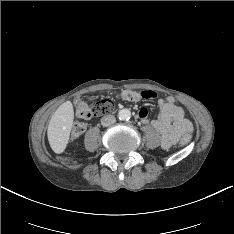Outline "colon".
<instances>
[{
	"label": "colon",
	"instance_id": "obj_1",
	"mask_svg": "<svg viewBox=\"0 0 234 234\" xmlns=\"http://www.w3.org/2000/svg\"><path fill=\"white\" fill-rule=\"evenodd\" d=\"M120 98L124 97H141L143 99L150 98L151 95L147 94L145 92H138V91H132V90H125L119 94ZM114 108V104L110 99H102L94 104H89L85 100H80L76 105V115L78 118L82 120L89 119L91 117H97L101 115L108 114L111 112ZM87 125L85 122H78L74 125L72 130V138L76 139L80 135L84 133L86 130ZM191 140V136L189 134H185L181 139L182 145L189 144Z\"/></svg>",
	"mask_w": 234,
	"mask_h": 234
}]
</instances>
